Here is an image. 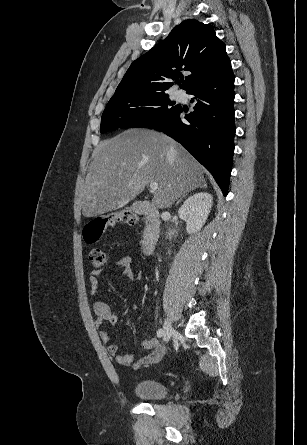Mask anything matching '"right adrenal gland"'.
Wrapping results in <instances>:
<instances>
[{
    "instance_id": "right-adrenal-gland-1",
    "label": "right adrenal gland",
    "mask_w": 307,
    "mask_h": 445,
    "mask_svg": "<svg viewBox=\"0 0 307 445\" xmlns=\"http://www.w3.org/2000/svg\"><path fill=\"white\" fill-rule=\"evenodd\" d=\"M200 188H206V184H204V186H200ZM183 196H186V194H182L181 198H179V200H177L176 204H178V202H180V200H182Z\"/></svg>"
}]
</instances>
